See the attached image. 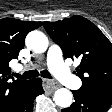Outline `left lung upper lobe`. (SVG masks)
<instances>
[{
	"mask_svg": "<svg viewBox=\"0 0 112 112\" xmlns=\"http://www.w3.org/2000/svg\"><path fill=\"white\" fill-rule=\"evenodd\" d=\"M65 58H79V89L86 93L112 96V44L88 19L75 15L57 22H43Z\"/></svg>",
	"mask_w": 112,
	"mask_h": 112,
	"instance_id": "obj_1",
	"label": "left lung upper lobe"
}]
</instances>
